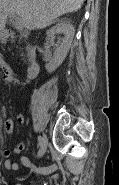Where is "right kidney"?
Masks as SVG:
<instances>
[{"label":"right kidney","instance_id":"ca27d5eb","mask_svg":"<svg viewBox=\"0 0 119 185\" xmlns=\"http://www.w3.org/2000/svg\"><path fill=\"white\" fill-rule=\"evenodd\" d=\"M57 34H63L64 37L59 39L56 44V49L53 53L52 58L45 65V68L49 73L55 71L57 67H59L64 61L70 49L75 34V28L69 22H60L46 32L47 41L50 44H54L55 36Z\"/></svg>","mask_w":119,"mask_h":185}]
</instances>
